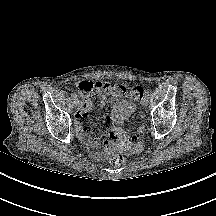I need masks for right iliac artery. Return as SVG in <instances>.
I'll return each instance as SVG.
<instances>
[{"label": "right iliac artery", "instance_id": "1", "mask_svg": "<svg viewBox=\"0 0 216 216\" xmlns=\"http://www.w3.org/2000/svg\"><path fill=\"white\" fill-rule=\"evenodd\" d=\"M71 98L72 99H77V95L75 93H71Z\"/></svg>", "mask_w": 216, "mask_h": 216}]
</instances>
